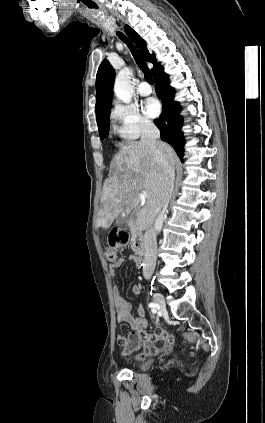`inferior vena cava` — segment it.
I'll return each instance as SVG.
<instances>
[{
    "instance_id": "inferior-vena-cava-1",
    "label": "inferior vena cava",
    "mask_w": 265,
    "mask_h": 423,
    "mask_svg": "<svg viewBox=\"0 0 265 423\" xmlns=\"http://www.w3.org/2000/svg\"><path fill=\"white\" fill-rule=\"evenodd\" d=\"M160 131L155 124L147 121L142 126L141 140L142 144L151 147L154 150L155 158L161 162L165 172V183L162 188L161 209L156 218V223L162 218L163 211L166 208L173 190L174 170L167 160V148L164 143L159 141ZM144 261L143 276L149 279L155 269L157 240L154 226H150L144 233Z\"/></svg>"
}]
</instances>
